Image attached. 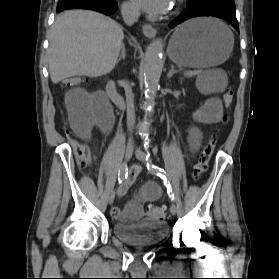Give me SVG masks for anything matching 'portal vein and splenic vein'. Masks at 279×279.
<instances>
[{"mask_svg": "<svg viewBox=\"0 0 279 279\" xmlns=\"http://www.w3.org/2000/svg\"><path fill=\"white\" fill-rule=\"evenodd\" d=\"M199 73H200L199 71H187V72H185V75L186 76H193V75H197Z\"/></svg>", "mask_w": 279, "mask_h": 279, "instance_id": "portal-vein-and-splenic-vein-1", "label": "portal vein and splenic vein"}]
</instances>
